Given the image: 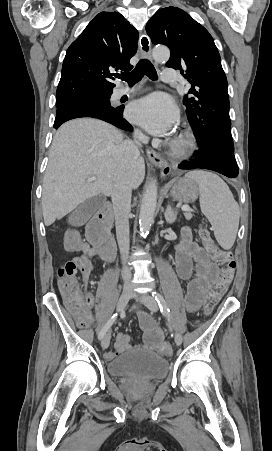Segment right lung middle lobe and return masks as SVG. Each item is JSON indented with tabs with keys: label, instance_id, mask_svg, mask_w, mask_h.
Here are the masks:
<instances>
[{
	"label": "right lung middle lobe",
	"instance_id": "dd1d6c3e",
	"mask_svg": "<svg viewBox=\"0 0 272 451\" xmlns=\"http://www.w3.org/2000/svg\"><path fill=\"white\" fill-rule=\"evenodd\" d=\"M110 95L111 93L91 94L78 97L56 99V115H60L68 110L80 107H90L98 109L100 111H105L107 113L115 112L119 109V107L115 108L111 106L109 102Z\"/></svg>",
	"mask_w": 272,
	"mask_h": 451
}]
</instances>
